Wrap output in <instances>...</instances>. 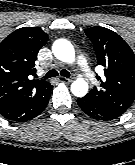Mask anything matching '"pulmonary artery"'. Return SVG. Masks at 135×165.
I'll return each instance as SVG.
<instances>
[{
  "instance_id": "e3ab8cb5",
  "label": "pulmonary artery",
  "mask_w": 135,
  "mask_h": 165,
  "mask_svg": "<svg viewBox=\"0 0 135 165\" xmlns=\"http://www.w3.org/2000/svg\"><path fill=\"white\" fill-rule=\"evenodd\" d=\"M75 63H76V66L78 67V69L80 70V72L83 74V76L87 80L92 81L94 79L93 75L89 69L87 59L82 53H79L76 56Z\"/></svg>"
}]
</instances>
